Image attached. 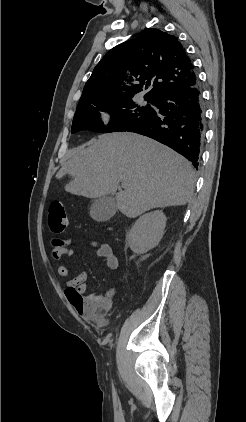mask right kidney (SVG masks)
<instances>
[{
	"instance_id": "obj_1",
	"label": "right kidney",
	"mask_w": 246,
	"mask_h": 422,
	"mask_svg": "<svg viewBox=\"0 0 246 422\" xmlns=\"http://www.w3.org/2000/svg\"><path fill=\"white\" fill-rule=\"evenodd\" d=\"M166 220L165 214L159 210L141 216L127 236L131 250L144 254L156 247L163 237Z\"/></svg>"
}]
</instances>
